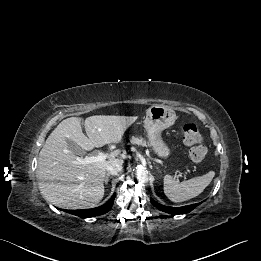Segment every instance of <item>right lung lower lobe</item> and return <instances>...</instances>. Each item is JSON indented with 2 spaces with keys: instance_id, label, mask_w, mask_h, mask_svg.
Listing matches in <instances>:
<instances>
[{
  "instance_id": "right-lung-lower-lobe-1",
  "label": "right lung lower lobe",
  "mask_w": 261,
  "mask_h": 261,
  "mask_svg": "<svg viewBox=\"0 0 261 261\" xmlns=\"http://www.w3.org/2000/svg\"><path fill=\"white\" fill-rule=\"evenodd\" d=\"M114 199H115V194L111 197V199L107 203H105L100 207H96L92 209H83V210H67L66 212L79 216L81 218L99 216L108 212L111 209Z\"/></svg>"
}]
</instances>
